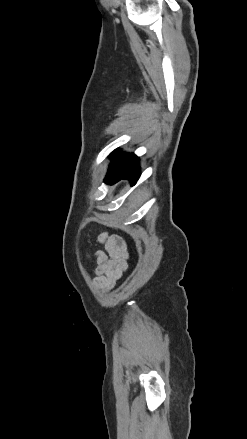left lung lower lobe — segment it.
<instances>
[{"label":"left lung lower lobe","instance_id":"1","mask_svg":"<svg viewBox=\"0 0 247 439\" xmlns=\"http://www.w3.org/2000/svg\"><path fill=\"white\" fill-rule=\"evenodd\" d=\"M140 177V169H139V158L131 153L128 158V162L126 166L121 170H111L109 169L106 180H111L112 182H117L122 178H128L133 184Z\"/></svg>","mask_w":247,"mask_h":439}]
</instances>
